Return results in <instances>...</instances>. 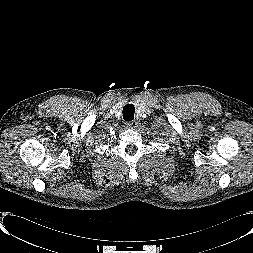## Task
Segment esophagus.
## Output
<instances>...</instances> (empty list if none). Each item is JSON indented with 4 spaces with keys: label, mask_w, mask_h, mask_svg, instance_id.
Returning <instances> with one entry per match:
<instances>
[{
    "label": "esophagus",
    "mask_w": 253,
    "mask_h": 253,
    "mask_svg": "<svg viewBox=\"0 0 253 253\" xmlns=\"http://www.w3.org/2000/svg\"><path fill=\"white\" fill-rule=\"evenodd\" d=\"M138 124H139L138 120L134 119V120L128 122L126 125L128 128L135 129L138 127Z\"/></svg>",
    "instance_id": "esophagus-1"
}]
</instances>
